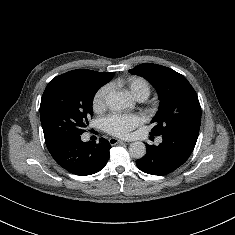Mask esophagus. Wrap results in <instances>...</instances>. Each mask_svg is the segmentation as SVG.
<instances>
[{"label":"esophagus","instance_id":"34e87169","mask_svg":"<svg viewBox=\"0 0 235 235\" xmlns=\"http://www.w3.org/2000/svg\"><path fill=\"white\" fill-rule=\"evenodd\" d=\"M122 142H124V141H123V140H120V139H117V138H114V137H112V138L109 139V143H110L111 145H116V144L122 143Z\"/></svg>","mask_w":235,"mask_h":235}]
</instances>
